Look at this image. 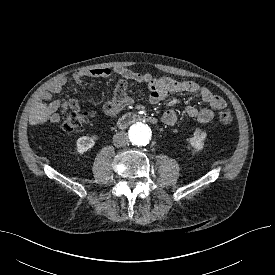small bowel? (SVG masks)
<instances>
[{"mask_svg":"<svg viewBox=\"0 0 275 275\" xmlns=\"http://www.w3.org/2000/svg\"><path fill=\"white\" fill-rule=\"evenodd\" d=\"M125 80H133L138 83L147 84L150 89L151 103H158L164 100L169 93H189L198 94L202 101L207 104L205 108H197L193 105L186 107V113L189 117L196 119L200 123H208L214 117V112L226 107L225 100L214 93L208 88L199 86L193 81H177L168 76L153 77L148 73H137L126 67H116L113 70ZM112 73L108 68H94L84 71H78L73 74V81L81 85L85 77H99L108 78ZM66 84L64 77L58 78L53 81L49 90L43 94L45 101H50L53 94L60 93ZM127 86L125 81L118 82L114 96L111 100L104 104V112L109 116H115L123 109L132 104V99L127 95ZM62 107L69 111H79L77 100L70 99L62 104ZM48 120L51 124L59 121L60 116L54 111L52 106L45 107L38 119L37 124L44 120ZM177 115L174 110H167L162 115V122L166 125H173L176 122Z\"/></svg>","mask_w":275,"mask_h":275,"instance_id":"small-bowel-1","label":"small bowel"}]
</instances>
